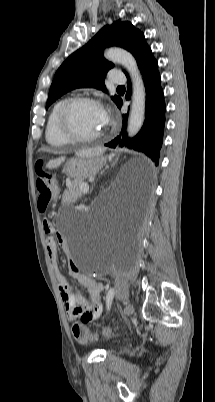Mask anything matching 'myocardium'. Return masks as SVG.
<instances>
[{
    "label": "myocardium",
    "instance_id": "f54148a6",
    "mask_svg": "<svg viewBox=\"0 0 215 402\" xmlns=\"http://www.w3.org/2000/svg\"><path fill=\"white\" fill-rule=\"evenodd\" d=\"M79 103H90L98 106L103 110L105 113L104 107L102 103L90 96H74L71 98L66 99L63 104L61 105L58 115H57V126L60 131V133L68 139L70 142H75V143H90L93 141L98 140L104 135V131H100L94 135L91 136H82L77 133H75L70 125H69V113L71 109ZM106 115V113H105Z\"/></svg>",
    "mask_w": 215,
    "mask_h": 402
}]
</instances>
